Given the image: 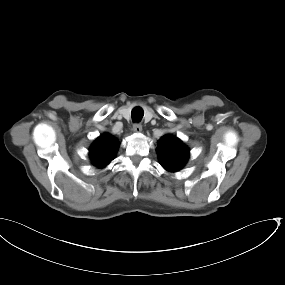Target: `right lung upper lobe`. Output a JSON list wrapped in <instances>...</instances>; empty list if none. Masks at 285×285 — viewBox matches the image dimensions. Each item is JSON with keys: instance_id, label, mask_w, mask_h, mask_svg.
<instances>
[{"instance_id": "1", "label": "right lung upper lobe", "mask_w": 285, "mask_h": 285, "mask_svg": "<svg viewBox=\"0 0 285 285\" xmlns=\"http://www.w3.org/2000/svg\"><path fill=\"white\" fill-rule=\"evenodd\" d=\"M119 142L105 133L99 136L90 148L89 156L92 164L98 168L108 165L116 156Z\"/></svg>"}]
</instances>
